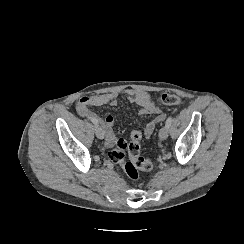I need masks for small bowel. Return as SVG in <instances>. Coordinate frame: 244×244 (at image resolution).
<instances>
[{
    "mask_svg": "<svg viewBox=\"0 0 244 244\" xmlns=\"http://www.w3.org/2000/svg\"><path fill=\"white\" fill-rule=\"evenodd\" d=\"M125 95L129 102L139 107V114L142 116H152L147 122L144 134L150 137L155 128L165 120V113L155 102L152 101L149 93L141 90H127ZM118 103V95L116 93H105L91 96H82L76 103V111L78 115L84 119L93 116L99 120L100 125L104 129L105 146L111 147L116 139L114 132V117L111 114L99 116L93 112L90 107H101L104 105L116 106Z\"/></svg>",
    "mask_w": 244,
    "mask_h": 244,
    "instance_id": "1",
    "label": "small bowel"
}]
</instances>
